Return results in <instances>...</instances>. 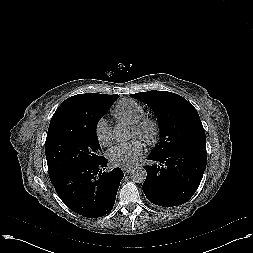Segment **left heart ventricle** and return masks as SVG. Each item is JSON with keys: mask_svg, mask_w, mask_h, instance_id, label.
<instances>
[{"mask_svg": "<svg viewBox=\"0 0 253 253\" xmlns=\"http://www.w3.org/2000/svg\"><path fill=\"white\" fill-rule=\"evenodd\" d=\"M131 136L132 137L136 136V132L133 129H131Z\"/></svg>", "mask_w": 253, "mask_h": 253, "instance_id": "b2bd125f", "label": "left heart ventricle"}]
</instances>
